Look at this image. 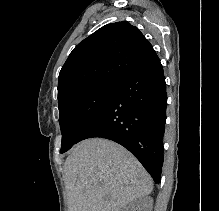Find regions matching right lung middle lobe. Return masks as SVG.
Masks as SVG:
<instances>
[{"mask_svg": "<svg viewBox=\"0 0 219 211\" xmlns=\"http://www.w3.org/2000/svg\"><path fill=\"white\" fill-rule=\"evenodd\" d=\"M116 86L95 85L58 102L59 123L62 132L60 153L68 151L76 144L81 132L104 107Z\"/></svg>", "mask_w": 219, "mask_h": 211, "instance_id": "dd1d6c3e", "label": "right lung middle lobe"}]
</instances>
